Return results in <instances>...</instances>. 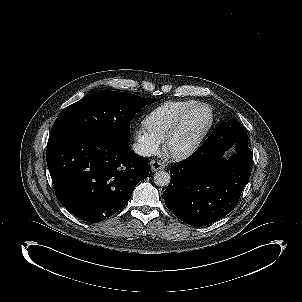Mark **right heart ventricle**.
Returning a JSON list of instances; mask_svg holds the SVG:
<instances>
[{"label":"right heart ventricle","instance_id":"right-heart-ventricle-1","mask_svg":"<svg viewBox=\"0 0 302 302\" xmlns=\"http://www.w3.org/2000/svg\"><path fill=\"white\" fill-rule=\"evenodd\" d=\"M192 106H194L192 102H168L148 116L145 126L151 135L162 139L179 116Z\"/></svg>","mask_w":302,"mask_h":302}]
</instances>
